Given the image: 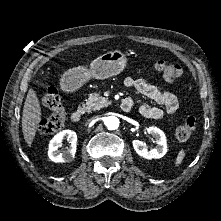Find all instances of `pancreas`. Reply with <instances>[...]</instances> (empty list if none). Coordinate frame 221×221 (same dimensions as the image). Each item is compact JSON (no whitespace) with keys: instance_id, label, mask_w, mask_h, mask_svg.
<instances>
[{"instance_id":"pancreas-1","label":"pancreas","mask_w":221,"mask_h":221,"mask_svg":"<svg viewBox=\"0 0 221 221\" xmlns=\"http://www.w3.org/2000/svg\"><path fill=\"white\" fill-rule=\"evenodd\" d=\"M110 104L107 98L102 97L99 93H91L89 94L86 103L84 104V108L87 112L96 111L103 107H106Z\"/></svg>"}]
</instances>
